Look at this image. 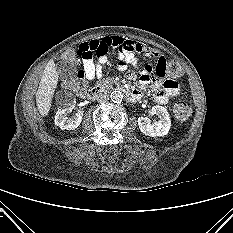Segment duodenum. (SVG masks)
I'll use <instances>...</instances> for the list:
<instances>
[{
  "label": "duodenum",
  "instance_id": "1",
  "mask_svg": "<svg viewBox=\"0 0 233 233\" xmlns=\"http://www.w3.org/2000/svg\"><path fill=\"white\" fill-rule=\"evenodd\" d=\"M116 88L121 90L128 99H130V100L136 99V93L134 91L129 90V89L124 88V87H119V86ZM102 92H103V89L101 87H93L90 90H88L87 97L89 99H95L100 94H102Z\"/></svg>",
  "mask_w": 233,
  "mask_h": 233
}]
</instances>
